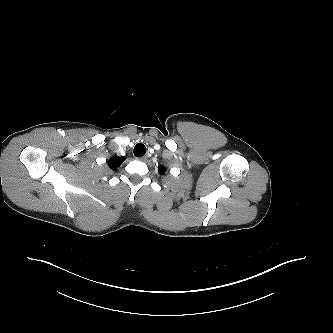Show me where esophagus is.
I'll return each instance as SVG.
<instances>
[{"label": "esophagus", "mask_w": 333, "mask_h": 333, "mask_svg": "<svg viewBox=\"0 0 333 333\" xmlns=\"http://www.w3.org/2000/svg\"><path fill=\"white\" fill-rule=\"evenodd\" d=\"M138 160H141V161H146L147 160V156H143L141 158H137Z\"/></svg>", "instance_id": "34e87169"}]
</instances>
